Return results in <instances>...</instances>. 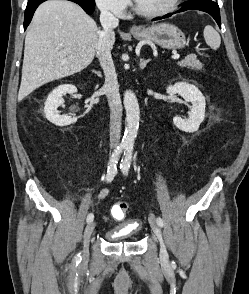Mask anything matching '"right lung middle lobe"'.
<instances>
[{"mask_svg":"<svg viewBox=\"0 0 249 294\" xmlns=\"http://www.w3.org/2000/svg\"><path fill=\"white\" fill-rule=\"evenodd\" d=\"M86 3H90V4H93V5H95V2H94V0H84Z\"/></svg>","mask_w":249,"mask_h":294,"instance_id":"obj_1","label":"right lung middle lobe"}]
</instances>
